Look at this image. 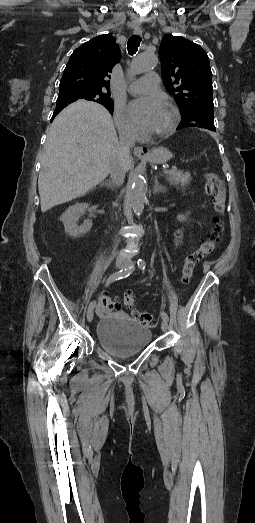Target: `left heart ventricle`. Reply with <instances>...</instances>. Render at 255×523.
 Wrapping results in <instances>:
<instances>
[{
    "mask_svg": "<svg viewBox=\"0 0 255 523\" xmlns=\"http://www.w3.org/2000/svg\"><path fill=\"white\" fill-rule=\"evenodd\" d=\"M174 120V113L170 107L161 104L155 112L149 128L145 131L148 138H156L164 134L171 127Z\"/></svg>",
    "mask_w": 255,
    "mask_h": 523,
    "instance_id": "b2bd125f",
    "label": "left heart ventricle"
}]
</instances>
